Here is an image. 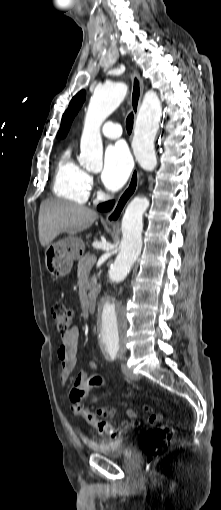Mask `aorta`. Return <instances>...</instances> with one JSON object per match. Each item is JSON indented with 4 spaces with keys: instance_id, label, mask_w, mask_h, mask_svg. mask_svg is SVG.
<instances>
[{
    "instance_id": "762f6f07",
    "label": "aorta",
    "mask_w": 221,
    "mask_h": 510,
    "mask_svg": "<svg viewBox=\"0 0 221 510\" xmlns=\"http://www.w3.org/2000/svg\"><path fill=\"white\" fill-rule=\"evenodd\" d=\"M127 85L108 83L95 89L88 105L80 143V163L90 170L102 165L103 145L100 126L124 100ZM162 107L157 94L150 90L139 109L133 137V149L140 166L153 171L157 165L154 140L159 128ZM149 207L146 197H135L122 218L120 251L108 270L110 284L122 282L128 275L142 249L143 214ZM97 325L100 346L105 350L119 349L124 344L126 318L121 304L111 295L103 294L97 306Z\"/></svg>"
}]
</instances>
